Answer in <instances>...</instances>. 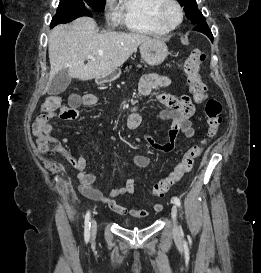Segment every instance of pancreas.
I'll return each mask as SVG.
<instances>
[{"label":"pancreas","instance_id":"cf45deb5","mask_svg":"<svg viewBox=\"0 0 261 273\" xmlns=\"http://www.w3.org/2000/svg\"><path fill=\"white\" fill-rule=\"evenodd\" d=\"M137 67H138V68H140V67H141V65H137ZM130 68H131V67H130ZM126 71H129V70H128V68H126Z\"/></svg>","mask_w":261,"mask_h":273}]
</instances>
